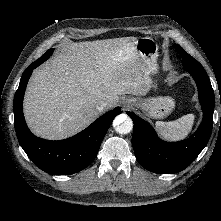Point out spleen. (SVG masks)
<instances>
[{"label": "spleen", "instance_id": "1", "mask_svg": "<svg viewBox=\"0 0 221 221\" xmlns=\"http://www.w3.org/2000/svg\"><path fill=\"white\" fill-rule=\"evenodd\" d=\"M193 122L194 115L187 114L174 121H157L156 127L165 138L183 139L191 130Z\"/></svg>", "mask_w": 221, "mask_h": 221}]
</instances>
